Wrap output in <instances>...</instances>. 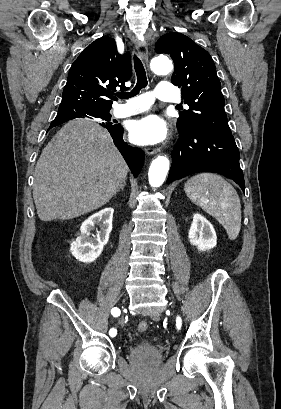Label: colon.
I'll use <instances>...</instances> for the list:
<instances>
[{"label": "colon", "instance_id": "5ec220e1", "mask_svg": "<svg viewBox=\"0 0 281 409\" xmlns=\"http://www.w3.org/2000/svg\"><path fill=\"white\" fill-rule=\"evenodd\" d=\"M149 330V323L147 321L141 320L136 323V331L138 333H146Z\"/></svg>", "mask_w": 281, "mask_h": 409}]
</instances>
